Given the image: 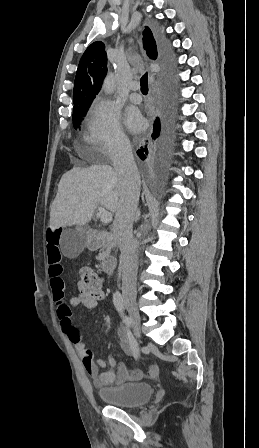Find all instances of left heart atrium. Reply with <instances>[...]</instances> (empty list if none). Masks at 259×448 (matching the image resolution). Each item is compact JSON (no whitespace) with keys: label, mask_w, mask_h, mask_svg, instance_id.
Listing matches in <instances>:
<instances>
[{"label":"left heart atrium","mask_w":259,"mask_h":448,"mask_svg":"<svg viewBox=\"0 0 259 448\" xmlns=\"http://www.w3.org/2000/svg\"><path fill=\"white\" fill-rule=\"evenodd\" d=\"M125 125L131 131H139L144 126V121L140 115V113L133 108H129L125 112L124 116Z\"/></svg>","instance_id":"obj_1"}]
</instances>
